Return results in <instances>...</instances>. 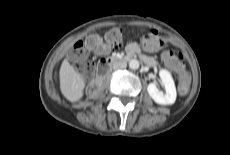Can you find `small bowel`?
Here are the masks:
<instances>
[{
	"label": "small bowel",
	"mask_w": 230,
	"mask_h": 155,
	"mask_svg": "<svg viewBox=\"0 0 230 155\" xmlns=\"http://www.w3.org/2000/svg\"><path fill=\"white\" fill-rule=\"evenodd\" d=\"M143 47L145 50L149 52H156L159 50L160 44L156 42L155 40H150L146 37L143 41ZM127 50L138 53L140 52V47L136 43H130L127 47ZM103 51H104V48H101L98 52L102 53ZM164 61L168 68L180 73L181 69L179 68L177 61L171 52L164 53Z\"/></svg>",
	"instance_id": "c3829d8e"
}]
</instances>
